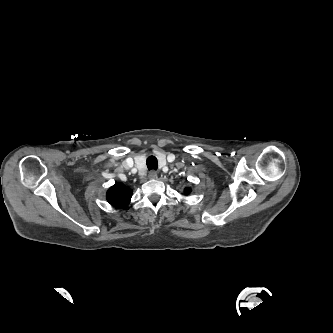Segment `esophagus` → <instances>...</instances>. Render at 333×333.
<instances>
[{
  "instance_id": "esophagus-1",
  "label": "esophagus",
  "mask_w": 333,
  "mask_h": 333,
  "mask_svg": "<svg viewBox=\"0 0 333 333\" xmlns=\"http://www.w3.org/2000/svg\"><path fill=\"white\" fill-rule=\"evenodd\" d=\"M157 176H158V173H157L155 170H151V171L149 172V178H150V179H156Z\"/></svg>"
}]
</instances>
